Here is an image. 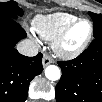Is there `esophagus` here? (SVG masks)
I'll use <instances>...</instances> for the list:
<instances>
[{"mask_svg":"<svg viewBox=\"0 0 102 102\" xmlns=\"http://www.w3.org/2000/svg\"><path fill=\"white\" fill-rule=\"evenodd\" d=\"M54 60L47 54H43V66L46 67L47 65L53 63Z\"/></svg>","mask_w":102,"mask_h":102,"instance_id":"34e87169","label":"esophagus"}]
</instances>
